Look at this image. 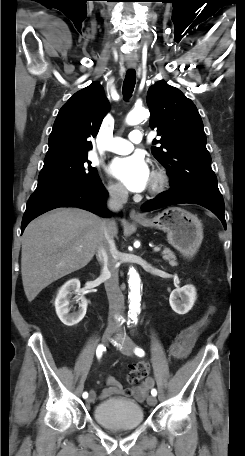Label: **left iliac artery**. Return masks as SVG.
I'll list each match as a JSON object with an SVG mask.
<instances>
[{
	"mask_svg": "<svg viewBox=\"0 0 245 456\" xmlns=\"http://www.w3.org/2000/svg\"><path fill=\"white\" fill-rule=\"evenodd\" d=\"M134 352H135V354H136L137 356H139V357H143V356L145 355V352L143 351V349H141V348H139V347H136V348L134 349ZM151 394H152L153 396H156V395H157V390H156V389H152V390H151Z\"/></svg>",
	"mask_w": 245,
	"mask_h": 456,
	"instance_id": "obj_1",
	"label": "left iliac artery"
}]
</instances>
